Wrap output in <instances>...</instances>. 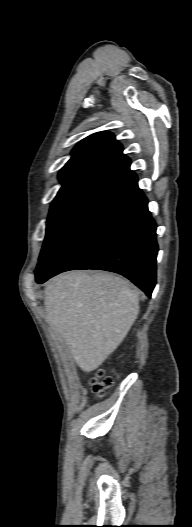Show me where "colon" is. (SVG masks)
Returning <instances> with one entry per match:
<instances>
[{"instance_id": "colon-1", "label": "colon", "mask_w": 192, "mask_h": 527, "mask_svg": "<svg viewBox=\"0 0 192 527\" xmlns=\"http://www.w3.org/2000/svg\"><path fill=\"white\" fill-rule=\"evenodd\" d=\"M91 385L95 395L97 397H103L112 387L113 379L110 376L105 375L103 371H99L96 377L92 379Z\"/></svg>"}]
</instances>
